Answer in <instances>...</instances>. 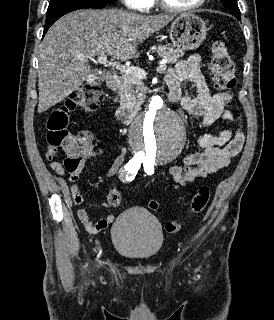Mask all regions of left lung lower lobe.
<instances>
[{"label":"left lung lower lobe","mask_w":274,"mask_h":320,"mask_svg":"<svg viewBox=\"0 0 274 320\" xmlns=\"http://www.w3.org/2000/svg\"><path fill=\"white\" fill-rule=\"evenodd\" d=\"M235 15L239 20L241 19V13L240 14H235Z\"/></svg>","instance_id":"obj_1"}]
</instances>
